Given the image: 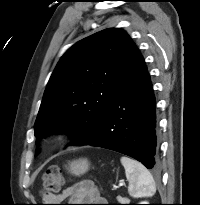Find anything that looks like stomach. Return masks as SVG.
I'll use <instances>...</instances> for the list:
<instances>
[{"mask_svg": "<svg viewBox=\"0 0 200 205\" xmlns=\"http://www.w3.org/2000/svg\"><path fill=\"white\" fill-rule=\"evenodd\" d=\"M89 169V162L87 159H78L73 160L69 163L68 170L71 174H74L76 176L82 175L85 172H87Z\"/></svg>", "mask_w": 200, "mask_h": 205, "instance_id": "0dacf381", "label": "stomach"}]
</instances>
